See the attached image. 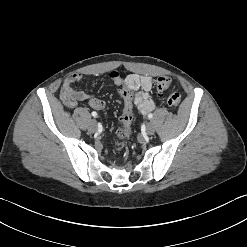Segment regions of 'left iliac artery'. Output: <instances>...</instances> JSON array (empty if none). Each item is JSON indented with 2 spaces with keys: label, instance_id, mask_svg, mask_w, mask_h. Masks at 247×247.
<instances>
[{
  "label": "left iliac artery",
  "instance_id": "obj_1",
  "mask_svg": "<svg viewBox=\"0 0 247 247\" xmlns=\"http://www.w3.org/2000/svg\"><path fill=\"white\" fill-rule=\"evenodd\" d=\"M152 117H153V114L150 113V114L148 115V118L151 119Z\"/></svg>",
  "mask_w": 247,
  "mask_h": 247
}]
</instances>
